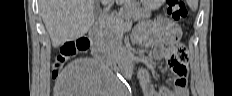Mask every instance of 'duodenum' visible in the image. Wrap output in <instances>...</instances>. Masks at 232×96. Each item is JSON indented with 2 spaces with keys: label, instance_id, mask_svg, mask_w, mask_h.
<instances>
[{
  "label": "duodenum",
  "instance_id": "obj_1",
  "mask_svg": "<svg viewBox=\"0 0 232 96\" xmlns=\"http://www.w3.org/2000/svg\"><path fill=\"white\" fill-rule=\"evenodd\" d=\"M100 33L99 26L95 25L88 33V38L91 42L92 56L99 61H108L123 77L129 76L134 71L135 65L129 55V53L120 48L115 56H111L110 53L102 50L96 43Z\"/></svg>",
  "mask_w": 232,
  "mask_h": 96
}]
</instances>
